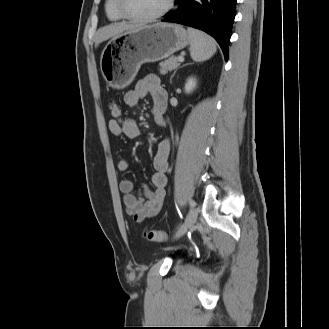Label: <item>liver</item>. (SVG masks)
Wrapping results in <instances>:
<instances>
[{
    "mask_svg": "<svg viewBox=\"0 0 329 329\" xmlns=\"http://www.w3.org/2000/svg\"><path fill=\"white\" fill-rule=\"evenodd\" d=\"M141 25H133L128 23H114L111 25H107L98 30L95 37V47H97L103 41L119 35L124 32L132 31Z\"/></svg>",
    "mask_w": 329,
    "mask_h": 329,
    "instance_id": "6515ba94",
    "label": "liver"
}]
</instances>
